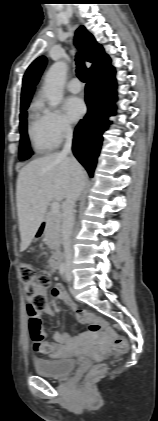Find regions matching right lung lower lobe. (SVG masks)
Masks as SVG:
<instances>
[{
	"label": "right lung lower lobe",
	"mask_w": 158,
	"mask_h": 421,
	"mask_svg": "<svg viewBox=\"0 0 158 421\" xmlns=\"http://www.w3.org/2000/svg\"><path fill=\"white\" fill-rule=\"evenodd\" d=\"M110 62L109 59L101 68L89 74L85 88L88 112L74 131V155L90 177H93L101 149L102 134L111 124L108 117L114 115L116 110L113 104L117 100L115 69Z\"/></svg>",
	"instance_id": "98d812e1"
}]
</instances>
